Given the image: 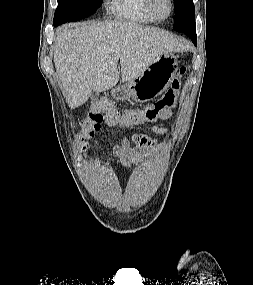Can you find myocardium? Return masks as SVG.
<instances>
[{"label": "myocardium", "mask_w": 253, "mask_h": 285, "mask_svg": "<svg viewBox=\"0 0 253 285\" xmlns=\"http://www.w3.org/2000/svg\"><path fill=\"white\" fill-rule=\"evenodd\" d=\"M145 2V10L147 14L154 20V21H165L167 20L173 13L174 11V0H168L169 3V13L165 17H158L155 15L153 8H152V2L153 0H144Z\"/></svg>", "instance_id": "1"}]
</instances>
